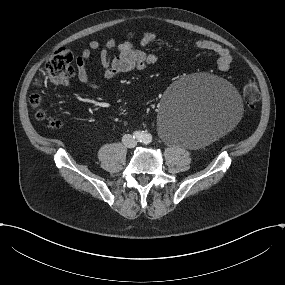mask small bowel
<instances>
[{
    "instance_id": "c3829d8e",
    "label": "small bowel",
    "mask_w": 285,
    "mask_h": 285,
    "mask_svg": "<svg viewBox=\"0 0 285 285\" xmlns=\"http://www.w3.org/2000/svg\"><path fill=\"white\" fill-rule=\"evenodd\" d=\"M154 40L151 33L145 35L140 45L147 46ZM195 46L198 49L215 53L218 56L217 64L221 71H228L232 64V55L230 51L221 44L212 40H197ZM92 52H98L100 63L103 67L104 77L106 79L115 78L121 74L133 71L143 70L157 63L158 57L154 54H148L141 49H137L129 41L117 43L114 38L108 39L105 44H100L96 40L89 42L76 57L77 78L85 86L90 89L97 90L99 85L93 81L88 69L87 62ZM64 82L63 84H66Z\"/></svg>"
}]
</instances>
